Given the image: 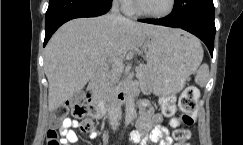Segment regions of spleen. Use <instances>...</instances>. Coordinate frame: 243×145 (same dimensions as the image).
<instances>
[{
	"label": "spleen",
	"mask_w": 243,
	"mask_h": 145,
	"mask_svg": "<svg viewBox=\"0 0 243 145\" xmlns=\"http://www.w3.org/2000/svg\"><path fill=\"white\" fill-rule=\"evenodd\" d=\"M203 58V50L200 49L199 52V60H198V66L200 65L201 61ZM209 79V66L207 64H203L199 67V69L196 72L195 75V82L200 86V87H205Z\"/></svg>",
	"instance_id": "obj_1"
}]
</instances>
